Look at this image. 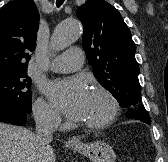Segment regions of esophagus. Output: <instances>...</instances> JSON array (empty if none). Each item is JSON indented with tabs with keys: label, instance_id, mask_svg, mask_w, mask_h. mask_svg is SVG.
<instances>
[{
	"label": "esophagus",
	"instance_id": "obj_1",
	"mask_svg": "<svg viewBox=\"0 0 168 162\" xmlns=\"http://www.w3.org/2000/svg\"><path fill=\"white\" fill-rule=\"evenodd\" d=\"M78 141L76 139H72L70 143H77Z\"/></svg>",
	"mask_w": 168,
	"mask_h": 162
}]
</instances>
